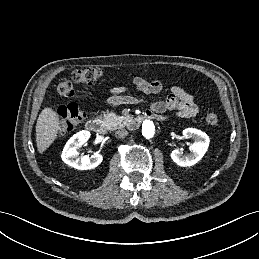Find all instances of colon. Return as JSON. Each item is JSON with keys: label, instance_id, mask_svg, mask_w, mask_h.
I'll list each match as a JSON object with an SVG mask.
<instances>
[{"label": "colon", "instance_id": "obj_1", "mask_svg": "<svg viewBox=\"0 0 259 259\" xmlns=\"http://www.w3.org/2000/svg\"><path fill=\"white\" fill-rule=\"evenodd\" d=\"M102 77V71L98 68H82L75 70L71 78L62 79L58 86L57 91L59 95L64 97H72L75 95L74 83L93 85L100 81ZM60 126L59 132L66 134L72 131L75 126L85 117L84 111L79 107L77 103H70L66 106H62L59 109ZM205 121L210 126H215L219 122V116L215 112L207 113Z\"/></svg>", "mask_w": 259, "mask_h": 259}]
</instances>
